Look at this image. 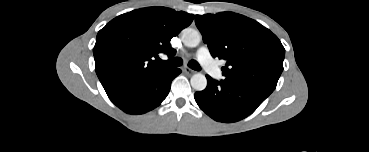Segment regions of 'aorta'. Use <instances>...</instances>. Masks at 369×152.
I'll return each mask as SVG.
<instances>
[{"label":"aorta","mask_w":369,"mask_h":152,"mask_svg":"<svg viewBox=\"0 0 369 152\" xmlns=\"http://www.w3.org/2000/svg\"><path fill=\"white\" fill-rule=\"evenodd\" d=\"M182 42L187 47H196L199 45L201 40L200 32L192 29V28H186L181 33ZM191 86L196 91H202L207 86V79L205 75L201 73H196L191 77L190 80Z\"/></svg>","instance_id":"762f6f07"}]
</instances>
